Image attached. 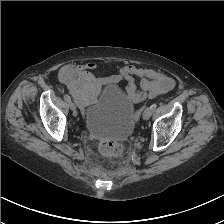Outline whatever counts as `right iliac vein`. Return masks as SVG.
Masks as SVG:
<instances>
[{
    "label": "right iliac vein",
    "instance_id": "right-iliac-vein-1",
    "mask_svg": "<svg viewBox=\"0 0 224 224\" xmlns=\"http://www.w3.org/2000/svg\"><path fill=\"white\" fill-rule=\"evenodd\" d=\"M69 107L72 111H75L76 110V106L75 104L72 102V101H69Z\"/></svg>",
    "mask_w": 224,
    "mask_h": 224
}]
</instances>
